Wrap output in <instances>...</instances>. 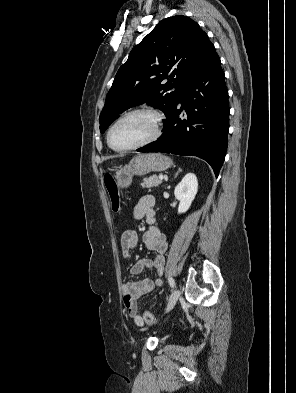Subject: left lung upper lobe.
<instances>
[{
	"label": "left lung upper lobe",
	"instance_id": "obj_1",
	"mask_svg": "<svg viewBox=\"0 0 296 393\" xmlns=\"http://www.w3.org/2000/svg\"><path fill=\"white\" fill-rule=\"evenodd\" d=\"M214 50L207 34L189 17L164 19L118 70L100 115L101 133L118 114L138 104H150L168 119L184 88Z\"/></svg>",
	"mask_w": 296,
	"mask_h": 393
}]
</instances>
